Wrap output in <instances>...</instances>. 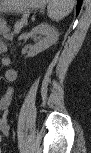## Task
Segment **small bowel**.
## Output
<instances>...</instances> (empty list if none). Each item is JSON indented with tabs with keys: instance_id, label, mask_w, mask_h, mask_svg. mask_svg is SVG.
Segmentation results:
<instances>
[{
	"instance_id": "c3829d8e",
	"label": "small bowel",
	"mask_w": 91,
	"mask_h": 153,
	"mask_svg": "<svg viewBox=\"0 0 91 153\" xmlns=\"http://www.w3.org/2000/svg\"><path fill=\"white\" fill-rule=\"evenodd\" d=\"M12 102V92H6L0 99V108L3 112V116L0 120V131L4 136H8L10 132V126L7 121V112Z\"/></svg>"
}]
</instances>
